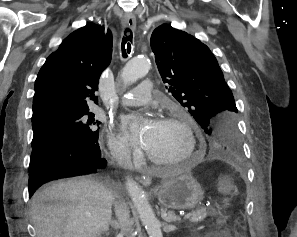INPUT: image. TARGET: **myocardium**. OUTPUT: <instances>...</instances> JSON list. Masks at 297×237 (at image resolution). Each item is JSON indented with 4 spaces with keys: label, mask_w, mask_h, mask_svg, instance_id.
<instances>
[{
    "label": "myocardium",
    "mask_w": 297,
    "mask_h": 237,
    "mask_svg": "<svg viewBox=\"0 0 297 237\" xmlns=\"http://www.w3.org/2000/svg\"><path fill=\"white\" fill-rule=\"evenodd\" d=\"M161 122L179 126L187 138V148L183 155L170 160L156 158L152 153L146 150L148 160L159 166L177 165L188 161L197 151V139L192 122L181 113L167 115L161 119Z\"/></svg>",
    "instance_id": "1"
}]
</instances>
